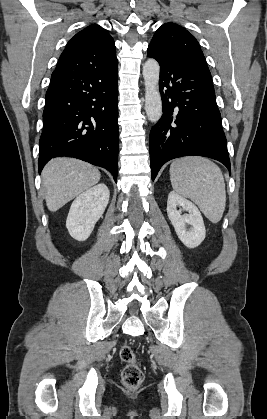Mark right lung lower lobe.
Instances as JSON below:
<instances>
[{
	"mask_svg": "<svg viewBox=\"0 0 267 419\" xmlns=\"http://www.w3.org/2000/svg\"><path fill=\"white\" fill-rule=\"evenodd\" d=\"M118 62L51 75L43 111L39 172L53 157L69 156L107 169L117 182Z\"/></svg>",
	"mask_w": 267,
	"mask_h": 419,
	"instance_id": "right-lung-lower-lobe-1",
	"label": "right lung lower lobe"
}]
</instances>
